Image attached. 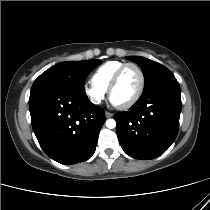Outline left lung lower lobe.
<instances>
[{"mask_svg": "<svg viewBox=\"0 0 210 210\" xmlns=\"http://www.w3.org/2000/svg\"><path fill=\"white\" fill-rule=\"evenodd\" d=\"M181 106L180 86L174 78L144 91L129 111L115 114L124 152L141 160L163 154L177 136Z\"/></svg>", "mask_w": 210, "mask_h": 210, "instance_id": "left-lung-lower-lobe-1", "label": "left lung lower lobe"}]
</instances>
